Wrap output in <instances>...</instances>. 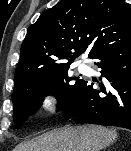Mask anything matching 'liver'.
Instances as JSON below:
<instances>
[{
    "instance_id": "liver-1",
    "label": "liver",
    "mask_w": 131,
    "mask_h": 151,
    "mask_svg": "<svg viewBox=\"0 0 131 151\" xmlns=\"http://www.w3.org/2000/svg\"><path fill=\"white\" fill-rule=\"evenodd\" d=\"M117 137L116 131L101 126L65 127L23 142L14 151H101Z\"/></svg>"
}]
</instances>
